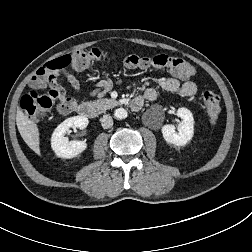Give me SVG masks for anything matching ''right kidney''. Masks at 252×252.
Instances as JSON below:
<instances>
[{"label":"right kidney","mask_w":252,"mask_h":252,"mask_svg":"<svg viewBox=\"0 0 252 252\" xmlns=\"http://www.w3.org/2000/svg\"><path fill=\"white\" fill-rule=\"evenodd\" d=\"M88 123L87 117L74 116L57 126L51 137V147L58 157L66 159L74 158L87 148V144L84 141H69L65 137V134L69 128L84 129Z\"/></svg>","instance_id":"1"}]
</instances>
